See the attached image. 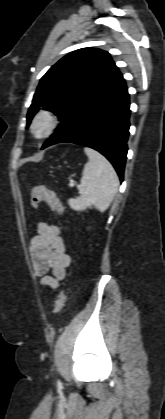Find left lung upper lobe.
<instances>
[{
	"mask_svg": "<svg viewBox=\"0 0 165 419\" xmlns=\"http://www.w3.org/2000/svg\"><path fill=\"white\" fill-rule=\"evenodd\" d=\"M120 74L106 51L83 48L69 53L41 78L28 110L27 126L40 106L53 111L62 121L61 126L80 105Z\"/></svg>",
	"mask_w": 165,
	"mask_h": 419,
	"instance_id": "left-lung-upper-lobe-1",
	"label": "left lung upper lobe"
}]
</instances>
